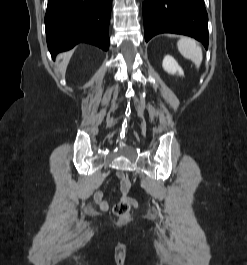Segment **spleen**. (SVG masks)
I'll use <instances>...</instances> for the list:
<instances>
[{"label": "spleen", "instance_id": "3e777b00", "mask_svg": "<svg viewBox=\"0 0 247 265\" xmlns=\"http://www.w3.org/2000/svg\"><path fill=\"white\" fill-rule=\"evenodd\" d=\"M177 46L185 58L190 59L197 68L200 67L203 59L202 50L193 39L183 37L177 42Z\"/></svg>", "mask_w": 247, "mask_h": 265}]
</instances>
